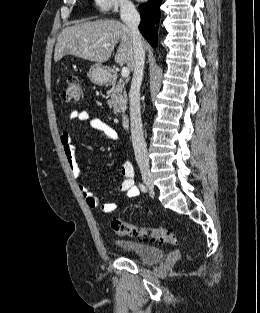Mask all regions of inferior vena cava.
<instances>
[{
  "label": "inferior vena cava",
  "mask_w": 260,
  "mask_h": 313,
  "mask_svg": "<svg viewBox=\"0 0 260 313\" xmlns=\"http://www.w3.org/2000/svg\"><path fill=\"white\" fill-rule=\"evenodd\" d=\"M120 17L124 24L129 28L134 49V73L129 91L130 100V121L131 135L135 158L139 167H149L146 143L143 136V127L140 107V87L143 79L145 63V49L142 36L138 26L140 24V14L135 6L128 1L121 3Z\"/></svg>",
  "instance_id": "obj_1"
}]
</instances>
